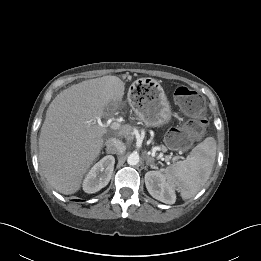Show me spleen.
Instances as JSON below:
<instances>
[{"label": "spleen", "instance_id": "1", "mask_svg": "<svg viewBox=\"0 0 261 261\" xmlns=\"http://www.w3.org/2000/svg\"><path fill=\"white\" fill-rule=\"evenodd\" d=\"M216 156V141L206 138L192 149L187 158L164 169L165 179L177 187L183 199L194 197L212 172Z\"/></svg>", "mask_w": 261, "mask_h": 261}]
</instances>
